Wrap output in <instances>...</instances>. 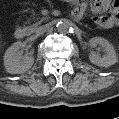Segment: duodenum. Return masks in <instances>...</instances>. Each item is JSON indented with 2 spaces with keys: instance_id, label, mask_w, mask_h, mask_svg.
<instances>
[{
  "instance_id": "410a0bca",
  "label": "duodenum",
  "mask_w": 119,
  "mask_h": 119,
  "mask_svg": "<svg viewBox=\"0 0 119 119\" xmlns=\"http://www.w3.org/2000/svg\"><path fill=\"white\" fill-rule=\"evenodd\" d=\"M72 18L76 21L80 20L81 19V15L78 14L77 12H75L73 15H72ZM27 35V31L24 27H18L16 30H15V37L17 39H23L25 38Z\"/></svg>"
}]
</instances>
